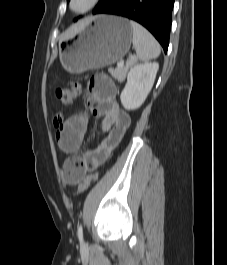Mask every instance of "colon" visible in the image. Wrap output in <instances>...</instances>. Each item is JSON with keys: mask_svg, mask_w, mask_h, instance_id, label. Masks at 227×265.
I'll return each mask as SVG.
<instances>
[{"mask_svg": "<svg viewBox=\"0 0 227 265\" xmlns=\"http://www.w3.org/2000/svg\"><path fill=\"white\" fill-rule=\"evenodd\" d=\"M79 93V85L77 83L71 82L66 87L58 88L55 92L56 99L65 106L73 103L74 99ZM55 125L61 123V118L57 117L54 121ZM81 164L79 156H72L68 158L62 167L63 177L70 181L72 179V172L75 168L79 167ZM98 178V173L94 172L87 175L77 189V194L86 191Z\"/></svg>", "mask_w": 227, "mask_h": 265, "instance_id": "5ec220e1", "label": "colon"}]
</instances>
